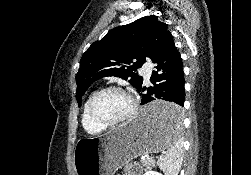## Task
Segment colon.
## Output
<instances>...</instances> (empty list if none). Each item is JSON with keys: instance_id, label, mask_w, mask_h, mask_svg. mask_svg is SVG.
Returning a JSON list of instances; mask_svg holds the SVG:
<instances>
[{"instance_id": "5ec220e1", "label": "colon", "mask_w": 251, "mask_h": 175, "mask_svg": "<svg viewBox=\"0 0 251 175\" xmlns=\"http://www.w3.org/2000/svg\"><path fill=\"white\" fill-rule=\"evenodd\" d=\"M124 175H142L141 165L136 161L126 163L124 167Z\"/></svg>"}]
</instances>
